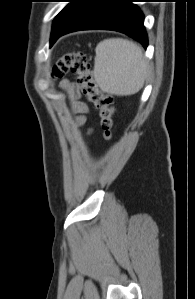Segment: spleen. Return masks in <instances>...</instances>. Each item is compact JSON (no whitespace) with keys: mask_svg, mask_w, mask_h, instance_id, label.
Here are the masks:
<instances>
[{"mask_svg":"<svg viewBox=\"0 0 195 299\" xmlns=\"http://www.w3.org/2000/svg\"><path fill=\"white\" fill-rule=\"evenodd\" d=\"M93 76L103 92L132 95L142 88L148 64L135 43L122 38L105 39L96 47Z\"/></svg>","mask_w":195,"mask_h":299,"instance_id":"1","label":"spleen"}]
</instances>
